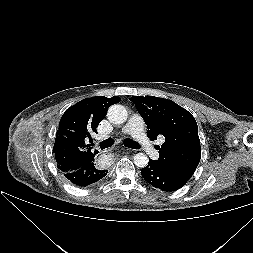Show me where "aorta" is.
<instances>
[{"mask_svg": "<svg viewBox=\"0 0 253 253\" xmlns=\"http://www.w3.org/2000/svg\"><path fill=\"white\" fill-rule=\"evenodd\" d=\"M108 120L114 124H122L126 122L128 118V112L126 108L120 104H114L110 106L107 113ZM148 157L144 153H137L134 156V164L137 167L144 168L148 164Z\"/></svg>", "mask_w": 253, "mask_h": 253, "instance_id": "762f6f07", "label": "aorta"}]
</instances>
